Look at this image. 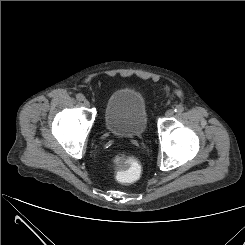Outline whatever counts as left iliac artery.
<instances>
[{"mask_svg":"<svg viewBox=\"0 0 245 245\" xmlns=\"http://www.w3.org/2000/svg\"><path fill=\"white\" fill-rule=\"evenodd\" d=\"M176 113H182L184 111V107L182 105H177L174 109Z\"/></svg>","mask_w":245,"mask_h":245,"instance_id":"1","label":"left iliac artery"}]
</instances>
